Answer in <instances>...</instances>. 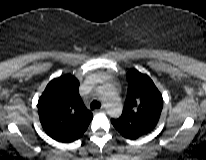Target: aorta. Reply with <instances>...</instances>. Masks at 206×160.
Instances as JSON below:
<instances>
[{"instance_id":"1","label":"aorta","mask_w":206,"mask_h":160,"mask_svg":"<svg viewBox=\"0 0 206 160\" xmlns=\"http://www.w3.org/2000/svg\"><path fill=\"white\" fill-rule=\"evenodd\" d=\"M104 103L107 106L108 113L112 117H118L121 115L123 106L117 96H113L111 98H105Z\"/></svg>"}]
</instances>
